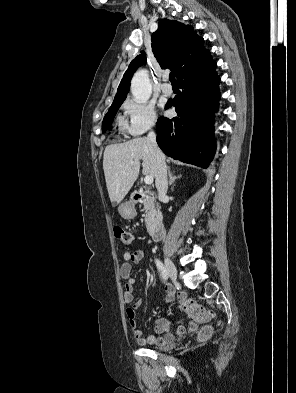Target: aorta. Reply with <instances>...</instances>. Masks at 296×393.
Instances as JSON below:
<instances>
[{
	"mask_svg": "<svg viewBox=\"0 0 296 393\" xmlns=\"http://www.w3.org/2000/svg\"><path fill=\"white\" fill-rule=\"evenodd\" d=\"M131 93L139 103H145L151 96L152 88L146 70L137 71L131 81Z\"/></svg>",
	"mask_w": 296,
	"mask_h": 393,
	"instance_id": "aorta-1",
	"label": "aorta"
}]
</instances>
